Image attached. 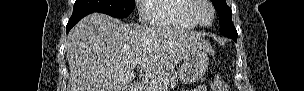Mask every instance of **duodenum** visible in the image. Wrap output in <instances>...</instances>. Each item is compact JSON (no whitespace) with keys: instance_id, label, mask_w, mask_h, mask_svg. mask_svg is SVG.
I'll return each instance as SVG.
<instances>
[{"instance_id":"obj_1","label":"duodenum","mask_w":304,"mask_h":91,"mask_svg":"<svg viewBox=\"0 0 304 91\" xmlns=\"http://www.w3.org/2000/svg\"><path fill=\"white\" fill-rule=\"evenodd\" d=\"M133 91H145L144 85L142 83H135L133 86Z\"/></svg>"}]
</instances>
